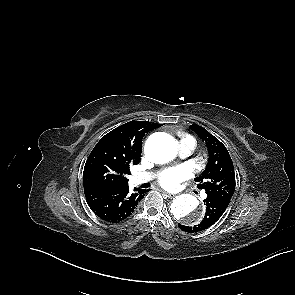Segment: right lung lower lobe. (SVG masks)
I'll list each match as a JSON object with an SVG mask.
<instances>
[{
    "instance_id": "obj_1",
    "label": "right lung lower lobe",
    "mask_w": 295,
    "mask_h": 295,
    "mask_svg": "<svg viewBox=\"0 0 295 295\" xmlns=\"http://www.w3.org/2000/svg\"><path fill=\"white\" fill-rule=\"evenodd\" d=\"M129 193L128 184L114 188L84 189L87 203L91 210L102 220L117 223L132 214L138 202L147 190L135 188Z\"/></svg>"
}]
</instances>
